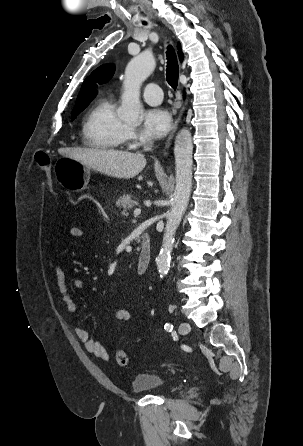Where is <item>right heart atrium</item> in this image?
I'll list each match as a JSON object with an SVG mask.
<instances>
[{
    "label": "right heart atrium",
    "mask_w": 303,
    "mask_h": 446,
    "mask_svg": "<svg viewBox=\"0 0 303 446\" xmlns=\"http://www.w3.org/2000/svg\"><path fill=\"white\" fill-rule=\"evenodd\" d=\"M124 138L126 141H129L131 143L144 141V138L133 127L130 126L125 127Z\"/></svg>",
    "instance_id": "1"
}]
</instances>
